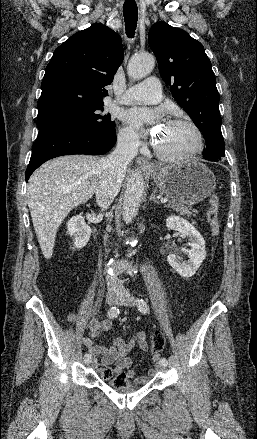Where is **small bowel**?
Returning <instances> with one entry per match:
<instances>
[{
  "mask_svg": "<svg viewBox=\"0 0 257 439\" xmlns=\"http://www.w3.org/2000/svg\"><path fill=\"white\" fill-rule=\"evenodd\" d=\"M68 319L72 321L74 316L69 315ZM88 330L89 337L83 338L82 343L93 356L94 366L99 371L114 365L113 371L115 373H124L128 380H132L135 384H146L155 376V369H151L147 374L141 376H137L133 369L131 356L133 351L136 348L148 351L147 334L145 332H138L130 341L125 342L120 338L111 336V322L109 320H91L88 324ZM104 333L110 335L111 343L108 346H102L95 342V339ZM158 359L159 355L152 356L153 361Z\"/></svg>",
  "mask_w": 257,
  "mask_h": 439,
  "instance_id": "small-bowel-1",
  "label": "small bowel"
}]
</instances>
